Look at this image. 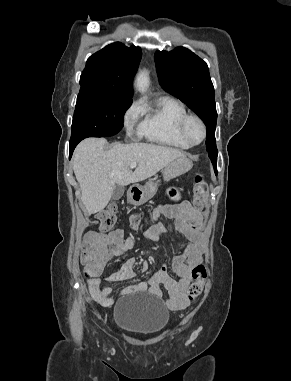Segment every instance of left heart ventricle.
Here are the masks:
<instances>
[{"label": "left heart ventricle", "mask_w": 291, "mask_h": 381, "mask_svg": "<svg viewBox=\"0 0 291 381\" xmlns=\"http://www.w3.org/2000/svg\"><path fill=\"white\" fill-rule=\"evenodd\" d=\"M189 134L191 138L195 141H199L202 136L201 127L198 122L191 121L188 126Z\"/></svg>", "instance_id": "1"}]
</instances>
